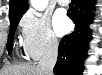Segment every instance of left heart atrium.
I'll return each instance as SVG.
<instances>
[{
    "instance_id": "left-heart-atrium-1",
    "label": "left heart atrium",
    "mask_w": 102,
    "mask_h": 75,
    "mask_svg": "<svg viewBox=\"0 0 102 75\" xmlns=\"http://www.w3.org/2000/svg\"><path fill=\"white\" fill-rule=\"evenodd\" d=\"M71 25L72 23L70 19L65 15L64 11L60 10L55 14L53 20V28L57 35L62 36L66 34L71 29Z\"/></svg>"
}]
</instances>
